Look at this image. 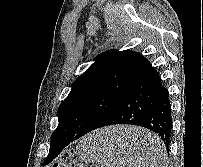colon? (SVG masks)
Returning <instances> with one entry per match:
<instances>
[{"mask_svg":"<svg viewBox=\"0 0 203 167\" xmlns=\"http://www.w3.org/2000/svg\"><path fill=\"white\" fill-rule=\"evenodd\" d=\"M53 167H98L90 159L79 155L74 150L65 152Z\"/></svg>","mask_w":203,"mask_h":167,"instance_id":"colon-1","label":"colon"}]
</instances>
